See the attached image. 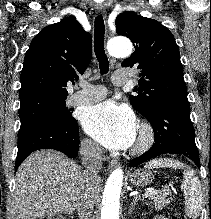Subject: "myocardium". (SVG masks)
Returning <instances> with one entry per match:
<instances>
[{
    "label": "myocardium",
    "mask_w": 211,
    "mask_h": 219,
    "mask_svg": "<svg viewBox=\"0 0 211 219\" xmlns=\"http://www.w3.org/2000/svg\"><path fill=\"white\" fill-rule=\"evenodd\" d=\"M155 134L152 126L148 123H143L139 129L136 144L133 149L134 154H143L148 151L154 143Z\"/></svg>",
    "instance_id": "1"
}]
</instances>
